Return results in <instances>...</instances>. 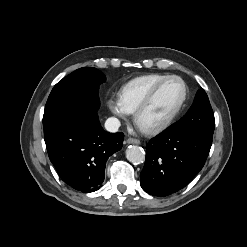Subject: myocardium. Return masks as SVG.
Returning <instances> with one entry per match:
<instances>
[{
  "mask_svg": "<svg viewBox=\"0 0 247 247\" xmlns=\"http://www.w3.org/2000/svg\"><path fill=\"white\" fill-rule=\"evenodd\" d=\"M173 79L179 80L182 83L183 88H184L183 97H182L180 103L178 104L176 109L165 120H163L160 123H157L155 125L149 126V127L142 126L140 120H141V117H142L143 113L151 105V103L153 102L155 96L157 95L159 90L162 88V86L165 83H167L168 81L173 80ZM188 93H189L188 86H187V83L184 81V79H182L180 76H177V75H169V76H167L166 78H164L163 80L158 82L151 89V91L147 94L145 99L141 102V104L138 106V108L134 112V121H135L136 125L144 133L150 134V135L158 134V133L166 130L175 121V119L179 116V114L181 113L182 109L184 108L185 103H186L187 98H188Z\"/></svg>",
  "mask_w": 247,
  "mask_h": 247,
  "instance_id": "obj_1",
  "label": "myocardium"
}]
</instances>
